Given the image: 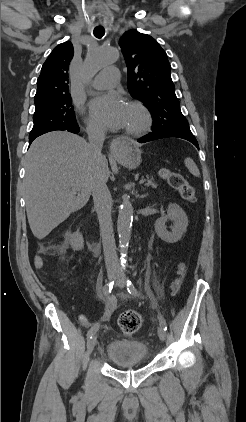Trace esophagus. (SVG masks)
Returning a JSON list of instances; mask_svg holds the SVG:
<instances>
[{
  "label": "esophagus",
  "mask_w": 246,
  "mask_h": 422,
  "mask_svg": "<svg viewBox=\"0 0 246 422\" xmlns=\"http://www.w3.org/2000/svg\"><path fill=\"white\" fill-rule=\"evenodd\" d=\"M121 145V141L119 139H115L110 146V152L112 154H116L119 151Z\"/></svg>",
  "instance_id": "1"
}]
</instances>
